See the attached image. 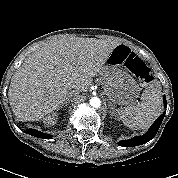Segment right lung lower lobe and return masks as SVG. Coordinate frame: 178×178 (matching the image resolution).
<instances>
[{
	"label": "right lung lower lobe",
	"mask_w": 178,
	"mask_h": 178,
	"mask_svg": "<svg viewBox=\"0 0 178 178\" xmlns=\"http://www.w3.org/2000/svg\"><path fill=\"white\" fill-rule=\"evenodd\" d=\"M27 133L32 135V136L43 138V139H51L52 138V135L42 133V132L35 130V129H29L27 131Z\"/></svg>",
	"instance_id": "right-lung-lower-lobe-1"
}]
</instances>
